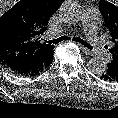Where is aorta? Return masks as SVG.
Wrapping results in <instances>:
<instances>
[{
    "instance_id": "obj_1",
    "label": "aorta",
    "mask_w": 118,
    "mask_h": 118,
    "mask_svg": "<svg viewBox=\"0 0 118 118\" xmlns=\"http://www.w3.org/2000/svg\"><path fill=\"white\" fill-rule=\"evenodd\" d=\"M81 17V8L74 1L66 2L60 8V18L66 23L75 24L80 21ZM87 66L89 71L96 75L105 73L107 69L106 62L100 57L91 58Z\"/></svg>"
}]
</instances>
